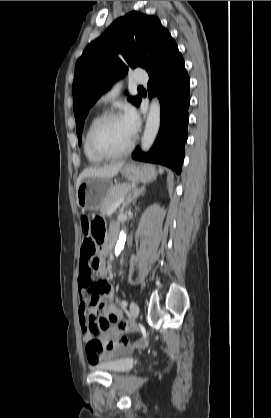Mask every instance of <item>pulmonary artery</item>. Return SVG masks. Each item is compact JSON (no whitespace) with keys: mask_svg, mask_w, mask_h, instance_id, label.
<instances>
[{"mask_svg":"<svg viewBox=\"0 0 271 418\" xmlns=\"http://www.w3.org/2000/svg\"><path fill=\"white\" fill-rule=\"evenodd\" d=\"M132 80L135 83L145 84L148 80V77H147L146 73H144L142 71H137L133 74ZM119 90H120V84H115L114 86H112V88L109 91H107L105 94H103L100 97L99 103H107L111 99L115 98L117 96Z\"/></svg>","mask_w":271,"mask_h":418,"instance_id":"pulmonary-artery-1","label":"pulmonary artery"}]
</instances>
